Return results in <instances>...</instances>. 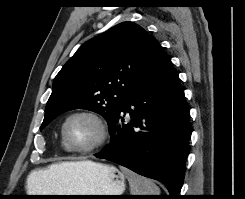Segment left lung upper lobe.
<instances>
[{"label":"left lung upper lobe","mask_w":245,"mask_h":199,"mask_svg":"<svg viewBox=\"0 0 245 199\" xmlns=\"http://www.w3.org/2000/svg\"><path fill=\"white\" fill-rule=\"evenodd\" d=\"M163 52L158 41L133 22L120 23L85 42L55 77L40 130L76 108L97 112L109 124Z\"/></svg>","instance_id":"left-lung-upper-lobe-1"}]
</instances>
